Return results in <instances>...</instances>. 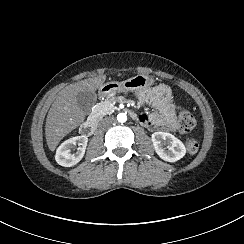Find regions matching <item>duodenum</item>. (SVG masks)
Masks as SVG:
<instances>
[{"instance_id": "410a0bca", "label": "duodenum", "mask_w": 244, "mask_h": 244, "mask_svg": "<svg viewBox=\"0 0 244 244\" xmlns=\"http://www.w3.org/2000/svg\"><path fill=\"white\" fill-rule=\"evenodd\" d=\"M96 97L97 98H102L103 97V92L102 91H97L96 92ZM135 112L129 111L130 117L135 118ZM99 121V115L97 113L92 114L80 127V132L84 136H90L94 133Z\"/></svg>"}]
</instances>
